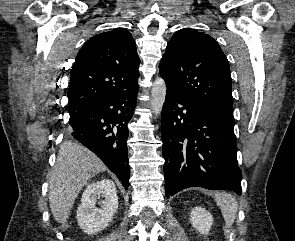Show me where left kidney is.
Wrapping results in <instances>:
<instances>
[{
  "label": "left kidney",
  "mask_w": 295,
  "mask_h": 241,
  "mask_svg": "<svg viewBox=\"0 0 295 241\" xmlns=\"http://www.w3.org/2000/svg\"><path fill=\"white\" fill-rule=\"evenodd\" d=\"M190 221L192 226L201 234L207 235L213 225V217L205 208L195 207L191 211Z\"/></svg>",
  "instance_id": "1"
}]
</instances>
